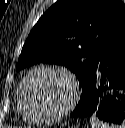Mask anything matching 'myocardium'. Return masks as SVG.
Masks as SVG:
<instances>
[{
  "label": "myocardium",
  "instance_id": "f54148a6",
  "mask_svg": "<svg viewBox=\"0 0 125 128\" xmlns=\"http://www.w3.org/2000/svg\"><path fill=\"white\" fill-rule=\"evenodd\" d=\"M41 71L54 72L62 75L68 80L72 89V94L68 103L59 111L52 114H35L27 106V102L25 98V89L27 83L34 74ZM19 94H20V100H19L20 107L23 114L31 121H35L38 123H47V122L58 121L59 119L63 118L65 115H67L70 111L74 109L80 96V87L75 76L67 69L55 65H40L30 70L27 73V75L24 77L19 87Z\"/></svg>",
  "mask_w": 125,
  "mask_h": 128
}]
</instances>
